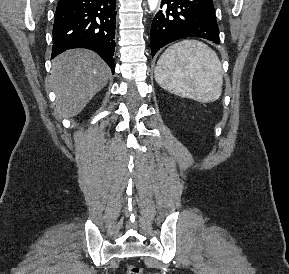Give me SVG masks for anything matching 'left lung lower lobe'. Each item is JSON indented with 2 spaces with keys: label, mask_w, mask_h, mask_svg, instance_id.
<instances>
[{
  "label": "left lung lower lobe",
  "mask_w": 289,
  "mask_h": 274,
  "mask_svg": "<svg viewBox=\"0 0 289 274\" xmlns=\"http://www.w3.org/2000/svg\"><path fill=\"white\" fill-rule=\"evenodd\" d=\"M153 19L150 40L154 56L165 45L186 37L220 43L212 0H162Z\"/></svg>",
  "instance_id": "obj_1"
}]
</instances>
